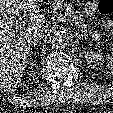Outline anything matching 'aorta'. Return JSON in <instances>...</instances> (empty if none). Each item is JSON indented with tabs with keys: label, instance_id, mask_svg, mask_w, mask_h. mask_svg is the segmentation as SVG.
<instances>
[{
	"label": "aorta",
	"instance_id": "762f6f07",
	"mask_svg": "<svg viewBox=\"0 0 113 113\" xmlns=\"http://www.w3.org/2000/svg\"><path fill=\"white\" fill-rule=\"evenodd\" d=\"M50 44L53 48H63L69 41V36L64 30H55L49 38Z\"/></svg>",
	"mask_w": 113,
	"mask_h": 113
}]
</instances>
